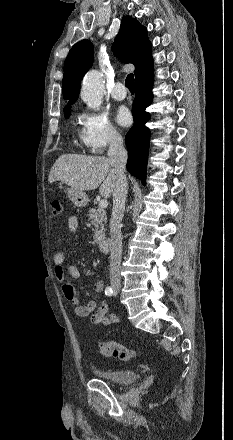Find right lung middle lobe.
Wrapping results in <instances>:
<instances>
[{
  "mask_svg": "<svg viewBox=\"0 0 233 440\" xmlns=\"http://www.w3.org/2000/svg\"><path fill=\"white\" fill-rule=\"evenodd\" d=\"M70 108H71V106H69L68 108H66L64 110V116L66 119L69 118V116H70Z\"/></svg>",
  "mask_w": 233,
  "mask_h": 440,
  "instance_id": "right-lung-middle-lobe-1",
  "label": "right lung middle lobe"
}]
</instances>
